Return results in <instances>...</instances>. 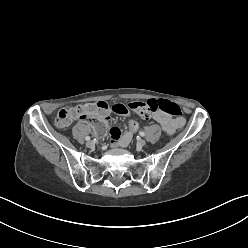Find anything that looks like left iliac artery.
<instances>
[{
    "label": "left iliac artery",
    "instance_id": "44dca946",
    "mask_svg": "<svg viewBox=\"0 0 248 248\" xmlns=\"http://www.w3.org/2000/svg\"><path fill=\"white\" fill-rule=\"evenodd\" d=\"M139 134H140L141 136H144V135H145V133H144L143 131H141Z\"/></svg>",
    "mask_w": 248,
    "mask_h": 248
}]
</instances>
